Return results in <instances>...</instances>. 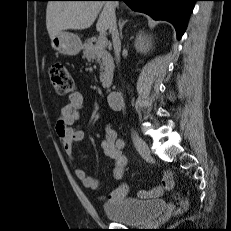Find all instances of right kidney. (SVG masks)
<instances>
[{
	"label": "right kidney",
	"instance_id": "obj_1",
	"mask_svg": "<svg viewBox=\"0 0 231 231\" xmlns=\"http://www.w3.org/2000/svg\"><path fill=\"white\" fill-rule=\"evenodd\" d=\"M134 46L138 52L146 54L152 47L151 38L145 36L144 32L139 31Z\"/></svg>",
	"mask_w": 231,
	"mask_h": 231
}]
</instances>
